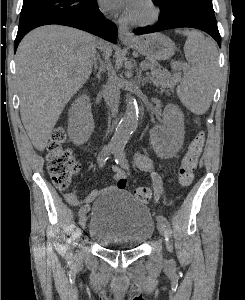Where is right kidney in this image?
<instances>
[{"label":"right kidney","instance_id":"obj_1","mask_svg":"<svg viewBox=\"0 0 245 300\" xmlns=\"http://www.w3.org/2000/svg\"><path fill=\"white\" fill-rule=\"evenodd\" d=\"M94 128L89 97H78L69 109L68 134L71 141L79 146L88 141Z\"/></svg>","mask_w":245,"mask_h":300}]
</instances>
